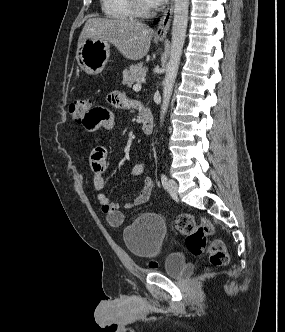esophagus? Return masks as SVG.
Returning <instances> with one entry per match:
<instances>
[{
	"label": "esophagus",
	"mask_w": 285,
	"mask_h": 332,
	"mask_svg": "<svg viewBox=\"0 0 285 332\" xmlns=\"http://www.w3.org/2000/svg\"><path fill=\"white\" fill-rule=\"evenodd\" d=\"M173 8H174V0H170L169 5L165 9L160 19L159 25L156 29L155 36L157 38L166 37L172 19Z\"/></svg>",
	"instance_id": "obj_1"
}]
</instances>
